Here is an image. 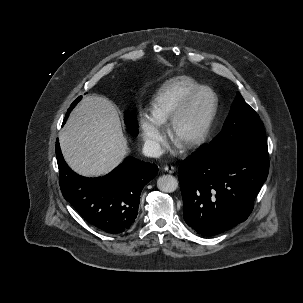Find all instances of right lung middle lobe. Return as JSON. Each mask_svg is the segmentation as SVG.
I'll list each match as a JSON object with an SVG mask.
<instances>
[{
  "label": "right lung middle lobe",
  "instance_id": "obj_1",
  "mask_svg": "<svg viewBox=\"0 0 303 303\" xmlns=\"http://www.w3.org/2000/svg\"><path fill=\"white\" fill-rule=\"evenodd\" d=\"M81 99V97H78L70 106V108L67 111L66 117L64 119V123L67 120L69 113L71 112V110L74 108V106L79 102V100ZM125 120H126V124L128 126V129L130 131L131 134H133L134 136L137 135L138 133V125H137V121L135 119V117L132 114L127 113L125 115Z\"/></svg>",
  "mask_w": 303,
  "mask_h": 303
}]
</instances>
